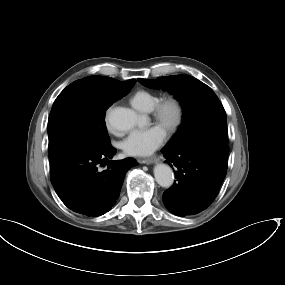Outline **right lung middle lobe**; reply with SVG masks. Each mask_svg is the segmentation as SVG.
I'll return each mask as SVG.
<instances>
[{"label":"right lung middle lobe","mask_w":285,"mask_h":285,"mask_svg":"<svg viewBox=\"0 0 285 285\" xmlns=\"http://www.w3.org/2000/svg\"><path fill=\"white\" fill-rule=\"evenodd\" d=\"M129 91L101 76L86 77L67 86L49 115L50 163L72 151L109 145L106 110Z\"/></svg>","instance_id":"1"}]
</instances>
